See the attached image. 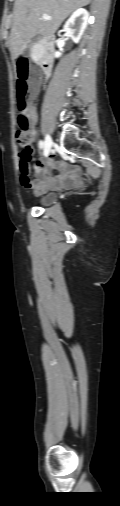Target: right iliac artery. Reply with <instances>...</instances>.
Listing matches in <instances>:
<instances>
[{"mask_svg":"<svg viewBox=\"0 0 120 506\" xmlns=\"http://www.w3.org/2000/svg\"><path fill=\"white\" fill-rule=\"evenodd\" d=\"M44 147H45L44 141L40 140L39 141V148H40V150H44Z\"/></svg>","mask_w":120,"mask_h":506,"instance_id":"1","label":"right iliac artery"}]
</instances>
